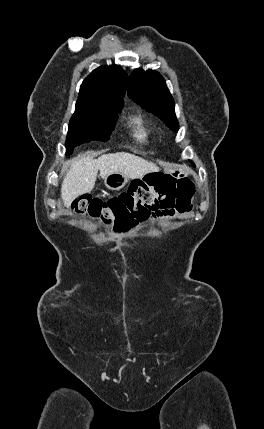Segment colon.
I'll return each instance as SVG.
<instances>
[{"label": "colon", "instance_id": "5ec220e1", "mask_svg": "<svg viewBox=\"0 0 264 429\" xmlns=\"http://www.w3.org/2000/svg\"><path fill=\"white\" fill-rule=\"evenodd\" d=\"M194 186L189 181L170 178L135 181L126 192L107 201L79 197L73 205L78 215H86L105 227L128 229L138 222L164 212H187L192 207Z\"/></svg>", "mask_w": 264, "mask_h": 429}]
</instances>
